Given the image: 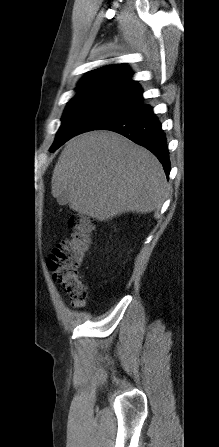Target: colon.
I'll use <instances>...</instances> for the list:
<instances>
[{
  "label": "colon",
  "mask_w": 219,
  "mask_h": 447,
  "mask_svg": "<svg viewBox=\"0 0 219 447\" xmlns=\"http://www.w3.org/2000/svg\"><path fill=\"white\" fill-rule=\"evenodd\" d=\"M69 225L72 233L52 250L48 267L54 280L65 288L73 302H84L87 288L80 279V267L91 243L94 222L84 215L75 214L69 218Z\"/></svg>",
  "instance_id": "obj_1"
}]
</instances>
